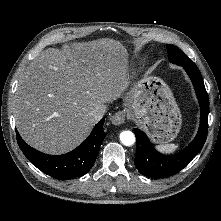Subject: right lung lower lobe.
I'll list each match as a JSON object with an SVG mask.
<instances>
[{
	"mask_svg": "<svg viewBox=\"0 0 221 221\" xmlns=\"http://www.w3.org/2000/svg\"><path fill=\"white\" fill-rule=\"evenodd\" d=\"M103 124L104 118L96 124L81 145L63 155H48L35 150L26 144L16 131L17 142L26 158L42 172L60 180L73 179L86 174L95 163L105 138Z\"/></svg>",
	"mask_w": 221,
	"mask_h": 221,
	"instance_id": "98d812e1",
	"label": "right lung lower lobe"
}]
</instances>
